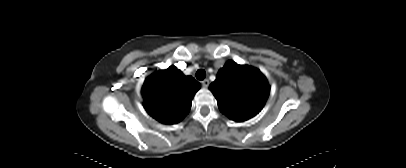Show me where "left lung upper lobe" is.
Wrapping results in <instances>:
<instances>
[{
    "label": "left lung upper lobe",
    "mask_w": 406,
    "mask_h": 168,
    "mask_svg": "<svg viewBox=\"0 0 406 168\" xmlns=\"http://www.w3.org/2000/svg\"><path fill=\"white\" fill-rule=\"evenodd\" d=\"M209 89L220 111L238 122L258 114L270 93V86L260 70L234 61H228L218 71Z\"/></svg>",
    "instance_id": "1"
}]
</instances>
